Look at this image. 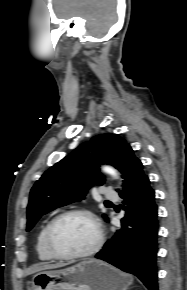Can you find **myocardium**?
Here are the masks:
<instances>
[{"label":"myocardium","instance_id":"f54148a6","mask_svg":"<svg viewBox=\"0 0 187 290\" xmlns=\"http://www.w3.org/2000/svg\"><path fill=\"white\" fill-rule=\"evenodd\" d=\"M73 215L84 216L91 221L96 231V240L93 246L85 252L74 253V254L62 253L56 248L54 244V238H53L54 231L57 224L61 220H63L66 217L73 216ZM103 239H104L103 229L101 227L99 220L95 216V214L87 209H82V208L69 209L58 214L56 217H54L50 221L46 229V233H45V244H46L47 250L55 259H61V260L85 259V258L91 257L100 250L103 244Z\"/></svg>","mask_w":187,"mask_h":290}]
</instances>
